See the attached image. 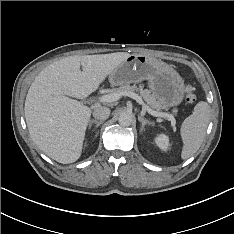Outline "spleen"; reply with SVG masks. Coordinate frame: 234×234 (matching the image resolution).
<instances>
[{
    "mask_svg": "<svg viewBox=\"0 0 234 234\" xmlns=\"http://www.w3.org/2000/svg\"><path fill=\"white\" fill-rule=\"evenodd\" d=\"M209 121L210 107L208 103L204 101L197 103L192 115L187 117L181 125L182 159H188L198 151L204 140Z\"/></svg>",
    "mask_w": 234,
    "mask_h": 234,
    "instance_id": "3e777b00",
    "label": "spleen"
}]
</instances>
